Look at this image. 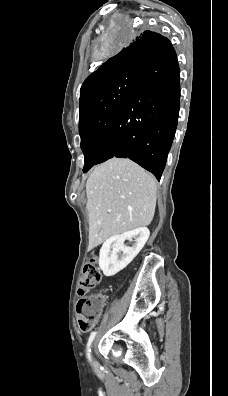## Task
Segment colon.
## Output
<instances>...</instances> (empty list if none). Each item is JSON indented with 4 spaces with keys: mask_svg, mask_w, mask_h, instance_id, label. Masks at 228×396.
<instances>
[{
    "mask_svg": "<svg viewBox=\"0 0 228 396\" xmlns=\"http://www.w3.org/2000/svg\"><path fill=\"white\" fill-rule=\"evenodd\" d=\"M101 280L97 258L93 257L80 275L78 293L83 297L77 303L78 324L82 331H89L98 320L105 299L102 295H87Z\"/></svg>",
    "mask_w": 228,
    "mask_h": 396,
    "instance_id": "5ec220e1",
    "label": "colon"
}]
</instances>
